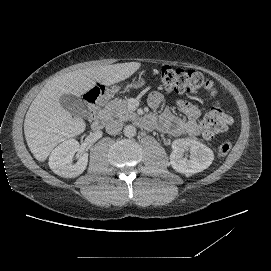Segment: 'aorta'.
Returning a JSON list of instances; mask_svg holds the SVG:
<instances>
[{"label": "aorta", "instance_id": "obj_1", "mask_svg": "<svg viewBox=\"0 0 271 271\" xmlns=\"http://www.w3.org/2000/svg\"><path fill=\"white\" fill-rule=\"evenodd\" d=\"M123 134H124V136L131 138V137L135 136L136 128L131 124H127L123 128Z\"/></svg>", "mask_w": 271, "mask_h": 271}]
</instances>
